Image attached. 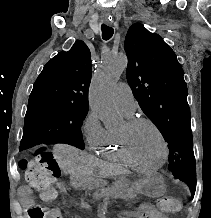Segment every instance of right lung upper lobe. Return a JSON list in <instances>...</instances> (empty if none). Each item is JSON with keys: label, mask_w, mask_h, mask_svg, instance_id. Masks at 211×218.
Returning <instances> with one entry per match:
<instances>
[{"label": "right lung upper lobe", "mask_w": 211, "mask_h": 218, "mask_svg": "<svg viewBox=\"0 0 211 218\" xmlns=\"http://www.w3.org/2000/svg\"><path fill=\"white\" fill-rule=\"evenodd\" d=\"M91 54L77 40L68 52H60L46 63L30 94L28 104L57 103L88 106Z\"/></svg>", "instance_id": "right-lung-upper-lobe-1"}]
</instances>
